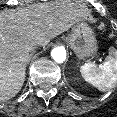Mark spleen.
<instances>
[{"label":"spleen","instance_id":"1","mask_svg":"<svg viewBox=\"0 0 117 117\" xmlns=\"http://www.w3.org/2000/svg\"><path fill=\"white\" fill-rule=\"evenodd\" d=\"M80 72L88 83L100 91L113 88L117 83V50L113 47L109 49V54L101 67L86 63L80 67Z\"/></svg>","mask_w":117,"mask_h":117}]
</instances>
